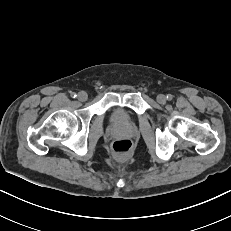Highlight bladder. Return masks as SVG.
Listing matches in <instances>:
<instances>
[{"mask_svg": "<svg viewBox=\"0 0 231 231\" xmlns=\"http://www.w3.org/2000/svg\"><path fill=\"white\" fill-rule=\"evenodd\" d=\"M113 118L116 121H121L122 120V111L120 109H115L113 112Z\"/></svg>", "mask_w": 231, "mask_h": 231, "instance_id": "1", "label": "bladder"}]
</instances>
